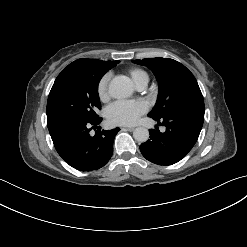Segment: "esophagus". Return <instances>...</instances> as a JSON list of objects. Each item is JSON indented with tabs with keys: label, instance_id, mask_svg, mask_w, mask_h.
<instances>
[{
	"label": "esophagus",
	"instance_id": "34e87169",
	"mask_svg": "<svg viewBox=\"0 0 247 247\" xmlns=\"http://www.w3.org/2000/svg\"><path fill=\"white\" fill-rule=\"evenodd\" d=\"M135 127H123L122 130L133 131Z\"/></svg>",
	"mask_w": 247,
	"mask_h": 247
}]
</instances>
